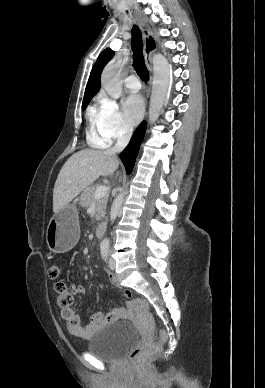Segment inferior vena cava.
I'll return each mask as SVG.
<instances>
[{
  "mask_svg": "<svg viewBox=\"0 0 265 388\" xmlns=\"http://www.w3.org/2000/svg\"><path fill=\"white\" fill-rule=\"evenodd\" d=\"M133 128L132 126H126L124 130V134L120 136L117 140V144L113 146V148H110V152H113V154H119V152H122L124 148H126L127 144L130 142V138L132 136Z\"/></svg>",
  "mask_w": 265,
  "mask_h": 388,
  "instance_id": "1",
  "label": "inferior vena cava"
}]
</instances>
